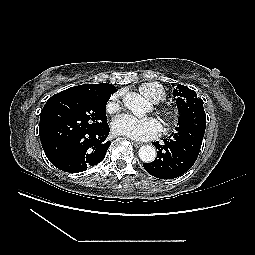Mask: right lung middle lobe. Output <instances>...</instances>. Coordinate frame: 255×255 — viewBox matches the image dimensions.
I'll return each instance as SVG.
<instances>
[{
  "mask_svg": "<svg viewBox=\"0 0 255 255\" xmlns=\"http://www.w3.org/2000/svg\"><path fill=\"white\" fill-rule=\"evenodd\" d=\"M110 96L55 94L40 113V139L45 154H55L72 137L107 124L106 104Z\"/></svg>",
  "mask_w": 255,
  "mask_h": 255,
  "instance_id": "1",
  "label": "right lung middle lobe"
}]
</instances>
